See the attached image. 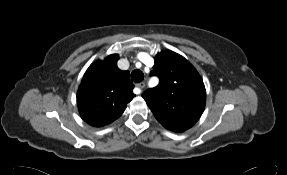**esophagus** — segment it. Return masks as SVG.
I'll return each mask as SVG.
<instances>
[{
    "label": "esophagus",
    "mask_w": 287,
    "mask_h": 175,
    "mask_svg": "<svg viewBox=\"0 0 287 175\" xmlns=\"http://www.w3.org/2000/svg\"><path fill=\"white\" fill-rule=\"evenodd\" d=\"M136 87L139 89V93H141L142 90L145 88V83L144 82L138 83L136 84Z\"/></svg>",
    "instance_id": "obj_1"
}]
</instances>
